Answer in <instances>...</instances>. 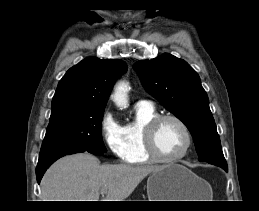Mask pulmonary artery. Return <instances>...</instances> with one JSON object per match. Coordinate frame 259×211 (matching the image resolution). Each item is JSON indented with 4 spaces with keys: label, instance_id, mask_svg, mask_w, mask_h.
Here are the masks:
<instances>
[{
    "label": "pulmonary artery",
    "instance_id": "pulmonary-artery-1",
    "mask_svg": "<svg viewBox=\"0 0 259 211\" xmlns=\"http://www.w3.org/2000/svg\"><path fill=\"white\" fill-rule=\"evenodd\" d=\"M139 104H147V105H152V103L148 100H141L138 102Z\"/></svg>",
    "mask_w": 259,
    "mask_h": 211
}]
</instances>
